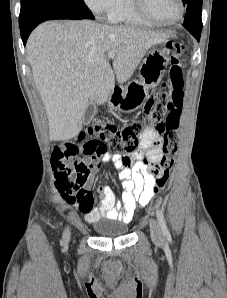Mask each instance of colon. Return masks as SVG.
Segmentation results:
<instances>
[{
	"label": "colon",
	"mask_w": 227,
	"mask_h": 298,
	"mask_svg": "<svg viewBox=\"0 0 227 298\" xmlns=\"http://www.w3.org/2000/svg\"><path fill=\"white\" fill-rule=\"evenodd\" d=\"M167 49L171 52L169 79L166 87H162L154 97L157 98V103H146L154 105L150 115H144L141 119L121 127L96 121L78 137L82 142H110V147H107L109 151L130 150L133 152L140 145V138L147 129L155 128V125H166V130H162L161 134L162 156L159 166L162 172L150 187L153 194L161 191L169 178V171L177 151L178 135L176 130L179 127L183 104V74L180 65L183 45L178 42H168ZM85 134H90L91 138L85 139ZM81 182H83V178H77L74 185H69L60 191L61 197L68 203H74L79 197L76 189Z\"/></svg>",
	"instance_id": "5ec220e1"
}]
</instances>
